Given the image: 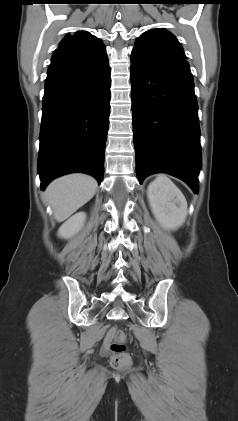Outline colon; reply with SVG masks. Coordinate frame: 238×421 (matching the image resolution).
Instances as JSON below:
<instances>
[{
	"mask_svg": "<svg viewBox=\"0 0 238 421\" xmlns=\"http://www.w3.org/2000/svg\"><path fill=\"white\" fill-rule=\"evenodd\" d=\"M108 344L111 351L110 362L115 369L127 368L131 358L127 353L126 334L120 329H112L108 334Z\"/></svg>",
	"mask_w": 238,
	"mask_h": 421,
	"instance_id": "1",
	"label": "colon"
}]
</instances>
